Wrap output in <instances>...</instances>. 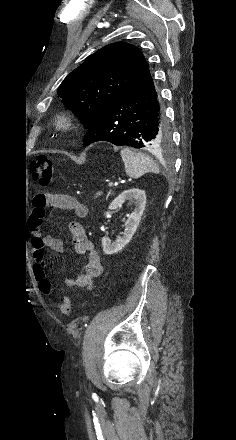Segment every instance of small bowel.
Returning <instances> with one entry per match:
<instances>
[{"instance_id":"c3829d8e","label":"small bowel","mask_w":236,"mask_h":440,"mask_svg":"<svg viewBox=\"0 0 236 440\" xmlns=\"http://www.w3.org/2000/svg\"><path fill=\"white\" fill-rule=\"evenodd\" d=\"M32 205L36 218V224L32 230V245L37 260L33 268V274L40 286V284L47 280L45 273L47 262L42 255L43 249L50 248L56 252H62L64 247L60 239L49 234H42L38 230V221L46 217V210L48 208L70 210L79 218L86 217L89 211L85 204L66 194L39 193L33 197ZM69 231L75 251L85 256L87 262L84 270L75 278L65 279V284L70 287L91 289L94 280L103 272L102 256L95 245L88 240L85 229L80 222H72L69 226Z\"/></svg>"}]
</instances>
